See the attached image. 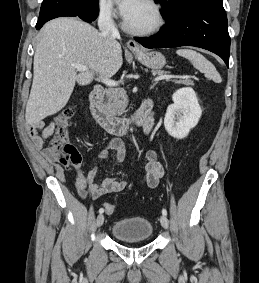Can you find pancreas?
I'll list each match as a JSON object with an SVG mask.
<instances>
[{
    "label": "pancreas",
    "mask_w": 259,
    "mask_h": 283,
    "mask_svg": "<svg viewBox=\"0 0 259 283\" xmlns=\"http://www.w3.org/2000/svg\"><path fill=\"white\" fill-rule=\"evenodd\" d=\"M158 75H163L164 72L156 71ZM167 81H170L167 79ZM176 84L183 85H194L193 81L190 78L172 80ZM107 102L106 107L108 110L115 115H121L125 111L128 98L126 92L123 89H109L106 94Z\"/></svg>",
    "instance_id": "pancreas-1"
}]
</instances>
